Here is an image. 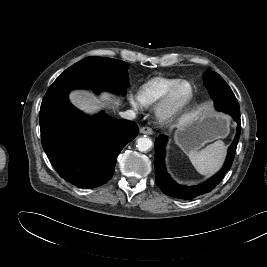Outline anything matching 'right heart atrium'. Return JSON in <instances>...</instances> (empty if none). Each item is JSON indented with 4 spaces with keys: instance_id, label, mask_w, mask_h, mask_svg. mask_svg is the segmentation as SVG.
I'll return each instance as SVG.
<instances>
[{
    "instance_id": "1",
    "label": "right heart atrium",
    "mask_w": 267,
    "mask_h": 267,
    "mask_svg": "<svg viewBox=\"0 0 267 267\" xmlns=\"http://www.w3.org/2000/svg\"><path fill=\"white\" fill-rule=\"evenodd\" d=\"M128 99H129V103L131 104V106L133 108L139 109L141 107L142 103H141V101H140L138 96H135V95L131 94V95H129Z\"/></svg>"
}]
</instances>
